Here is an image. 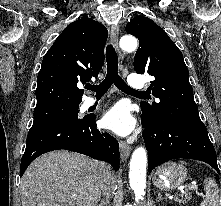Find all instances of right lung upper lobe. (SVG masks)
Wrapping results in <instances>:
<instances>
[{
  "label": "right lung upper lobe",
  "instance_id": "1",
  "mask_svg": "<svg viewBox=\"0 0 221 206\" xmlns=\"http://www.w3.org/2000/svg\"><path fill=\"white\" fill-rule=\"evenodd\" d=\"M107 36V29L90 18L69 24L42 61L36 107L79 104L83 90L78 86L97 78L104 63Z\"/></svg>",
  "mask_w": 221,
  "mask_h": 206
}]
</instances>
